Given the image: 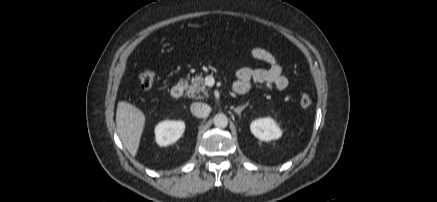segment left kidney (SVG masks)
<instances>
[{"mask_svg": "<svg viewBox=\"0 0 437 202\" xmlns=\"http://www.w3.org/2000/svg\"><path fill=\"white\" fill-rule=\"evenodd\" d=\"M250 130L255 137L262 141L276 140L282 136L281 129L270 117L252 121Z\"/></svg>", "mask_w": 437, "mask_h": 202, "instance_id": "left-kidney-1", "label": "left kidney"}]
</instances>
